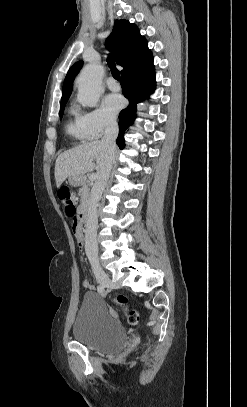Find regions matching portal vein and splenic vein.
<instances>
[{
	"instance_id": "obj_1",
	"label": "portal vein and splenic vein",
	"mask_w": 247,
	"mask_h": 407,
	"mask_svg": "<svg viewBox=\"0 0 247 407\" xmlns=\"http://www.w3.org/2000/svg\"><path fill=\"white\" fill-rule=\"evenodd\" d=\"M96 178H97V174H95V173H92V174L89 176V180H90V181H94V180H96Z\"/></svg>"
}]
</instances>
